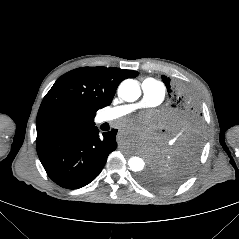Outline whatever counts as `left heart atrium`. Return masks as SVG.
<instances>
[{
	"instance_id": "39dd6f15",
	"label": "left heart atrium",
	"mask_w": 239,
	"mask_h": 239,
	"mask_svg": "<svg viewBox=\"0 0 239 239\" xmlns=\"http://www.w3.org/2000/svg\"><path fill=\"white\" fill-rule=\"evenodd\" d=\"M122 126L125 129H143L146 128V120L144 117L139 116L131 119L124 120Z\"/></svg>"
}]
</instances>
